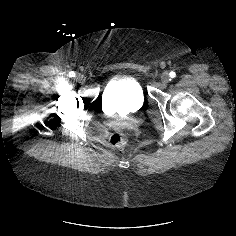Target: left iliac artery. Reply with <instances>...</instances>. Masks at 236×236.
Listing matches in <instances>:
<instances>
[{
    "mask_svg": "<svg viewBox=\"0 0 236 236\" xmlns=\"http://www.w3.org/2000/svg\"><path fill=\"white\" fill-rule=\"evenodd\" d=\"M169 76H170V78H175V77H176V73L173 72V71H171V72L169 73Z\"/></svg>",
    "mask_w": 236,
    "mask_h": 236,
    "instance_id": "1",
    "label": "left iliac artery"
}]
</instances>
